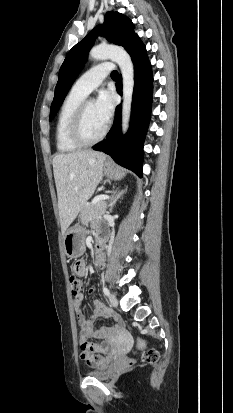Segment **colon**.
I'll use <instances>...</instances> for the list:
<instances>
[{"label":"colon","mask_w":233,"mask_h":413,"mask_svg":"<svg viewBox=\"0 0 233 413\" xmlns=\"http://www.w3.org/2000/svg\"><path fill=\"white\" fill-rule=\"evenodd\" d=\"M70 285L73 294L79 293L84 286L83 280L78 276L70 277ZM138 349L143 353V359L147 362H155L159 358V354L155 349H147L145 342L139 340L137 343Z\"/></svg>","instance_id":"colon-1"}]
</instances>
